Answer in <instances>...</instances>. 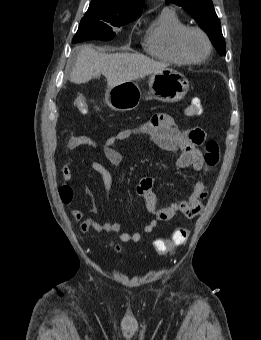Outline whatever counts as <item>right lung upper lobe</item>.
<instances>
[{"instance_id": "cb5924a9", "label": "right lung upper lobe", "mask_w": 261, "mask_h": 340, "mask_svg": "<svg viewBox=\"0 0 261 340\" xmlns=\"http://www.w3.org/2000/svg\"><path fill=\"white\" fill-rule=\"evenodd\" d=\"M143 0H91L89 9L101 10L120 17L141 15Z\"/></svg>"}]
</instances>
